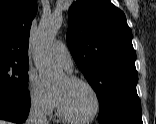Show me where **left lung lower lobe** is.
Here are the masks:
<instances>
[{
    "mask_svg": "<svg viewBox=\"0 0 156 124\" xmlns=\"http://www.w3.org/2000/svg\"><path fill=\"white\" fill-rule=\"evenodd\" d=\"M98 120L101 124H143L142 118L129 115H113Z\"/></svg>",
    "mask_w": 156,
    "mask_h": 124,
    "instance_id": "obj_1",
    "label": "left lung lower lobe"
}]
</instances>
